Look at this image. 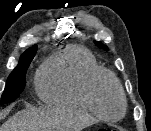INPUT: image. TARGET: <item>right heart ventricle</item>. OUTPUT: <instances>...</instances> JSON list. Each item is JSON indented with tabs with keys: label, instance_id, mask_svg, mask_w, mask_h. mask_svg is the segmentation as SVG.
Listing matches in <instances>:
<instances>
[{
	"label": "right heart ventricle",
	"instance_id": "1",
	"mask_svg": "<svg viewBox=\"0 0 151 131\" xmlns=\"http://www.w3.org/2000/svg\"><path fill=\"white\" fill-rule=\"evenodd\" d=\"M100 68L93 54L79 45H68L50 56L41 66L36 80L40 98L47 104L82 110L96 115L86 94V82Z\"/></svg>",
	"mask_w": 151,
	"mask_h": 131
}]
</instances>
